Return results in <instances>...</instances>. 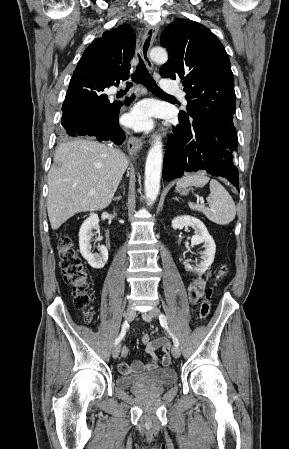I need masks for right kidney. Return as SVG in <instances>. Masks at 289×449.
Masks as SVG:
<instances>
[{"instance_id": "1", "label": "right kidney", "mask_w": 289, "mask_h": 449, "mask_svg": "<svg viewBox=\"0 0 289 449\" xmlns=\"http://www.w3.org/2000/svg\"><path fill=\"white\" fill-rule=\"evenodd\" d=\"M99 218L97 214H91L81 225L79 231L80 253L88 264L94 269H101L108 260V250L104 245L98 246L99 253H92L90 244L93 237L92 230L98 226Z\"/></svg>"}]
</instances>
